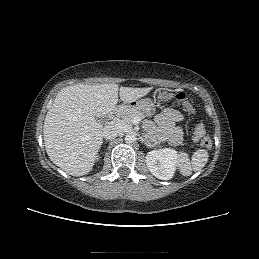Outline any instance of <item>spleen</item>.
I'll list each match as a JSON object with an SVG mask.
<instances>
[{
  "mask_svg": "<svg viewBox=\"0 0 259 259\" xmlns=\"http://www.w3.org/2000/svg\"><path fill=\"white\" fill-rule=\"evenodd\" d=\"M208 152L205 149H198L190 159L186 153H180L178 158L179 171L183 176H189L193 171L201 170L208 161Z\"/></svg>",
  "mask_w": 259,
  "mask_h": 259,
  "instance_id": "3e777b00",
  "label": "spleen"
}]
</instances>
